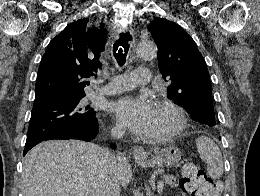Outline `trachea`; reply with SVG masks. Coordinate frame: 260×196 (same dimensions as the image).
I'll return each instance as SVG.
<instances>
[{
	"label": "trachea",
	"instance_id": "3493384b",
	"mask_svg": "<svg viewBox=\"0 0 260 196\" xmlns=\"http://www.w3.org/2000/svg\"><path fill=\"white\" fill-rule=\"evenodd\" d=\"M127 36H129V33H120L119 39L113 44V55L120 67L125 64L129 50V39Z\"/></svg>",
	"mask_w": 260,
	"mask_h": 196
}]
</instances>
